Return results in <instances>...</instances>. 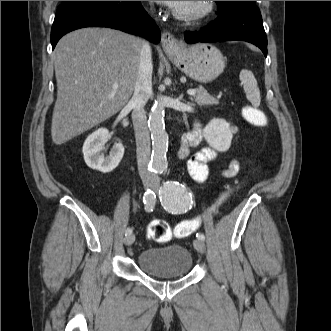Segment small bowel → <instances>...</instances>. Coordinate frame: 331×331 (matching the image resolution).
Segmentation results:
<instances>
[{
  "instance_id": "obj_1",
  "label": "small bowel",
  "mask_w": 331,
  "mask_h": 331,
  "mask_svg": "<svg viewBox=\"0 0 331 331\" xmlns=\"http://www.w3.org/2000/svg\"><path fill=\"white\" fill-rule=\"evenodd\" d=\"M202 139V129L199 123L183 134L181 145L178 150V156L182 159L188 158L187 168L190 176L199 183L204 182L209 176V163L212 162L217 154L215 150L209 147H204L198 152L190 155V150L196 147ZM239 172V163L232 160L228 167L222 171V175L226 178L235 177Z\"/></svg>"
}]
</instances>
